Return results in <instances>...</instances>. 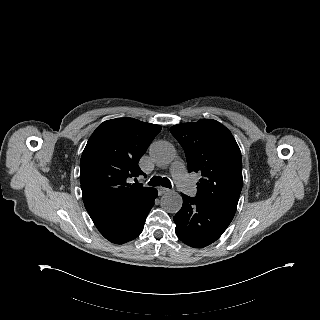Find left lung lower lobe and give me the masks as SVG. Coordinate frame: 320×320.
I'll return each mask as SVG.
<instances>
[{
    "instance_id": "left-lung-lower-lobe-1",
    "label": "left lung lower lobe",
    "mask_w": 320,
    "mask_h": 320,
    "mask_svg": "<svg viewBox=\"0 0 320 320\" xmlns=\"http://www.w3.org/2000/svg\"><path fill=\"white\" fill-rule=\"evenodd\" d=\"M182 208L173 217L176 234L185 244L203 248L215 242L231 223L234 215L213 204L182 194Z\"/></svg>"
}]
</instances>
